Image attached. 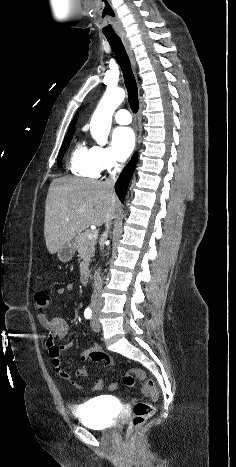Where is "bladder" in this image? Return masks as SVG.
I'll list each match as a JSON object with an SVG mask.
<instances>
[{
  "label": "bladder",
  "mask_w": 236,
  "mask_h": 467,
  "mask_svg": "<svg viewBox=\"0 0 236 467\" xmlns=\"http://www.w3.org/2000/svg\"><path fill=\"white\" fill-rule=\"evenodd\" d=\"M114 408L112 401L106 397L89 399L80 407L73 409L75 416L90 428L105 429L113 425L108 409Z\"/></svg>",
  "instance_id": "31cf9c89"
}]
</instances>
